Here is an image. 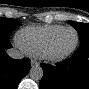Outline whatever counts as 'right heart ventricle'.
<instances>
[{"mask_svg": "<svg viewBox=\"0 0 89 89\" xmlns=\"http://www.w3.org/2000/svg\"><path fill=\"white\" fill-rule=\"evenodd\" d=\"M62 27V25L27 26L17 33V43L27 54L42 57L46 42Z\"/></svg>", "mask_w": 89, "mask_h": 89, "instance_id": "e07e8e85", "label": "right heart ventricle"}]
</instances>
